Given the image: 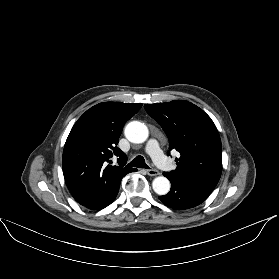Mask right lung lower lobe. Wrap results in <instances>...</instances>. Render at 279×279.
Instances as JSON below:
<instances>
[{
  "label": "right lung lower lobe",
  "instance_id": "obj_1",
  "mask_svg": "<svg viewBox=\"0 0 279 279\" xmlns=\"http://www.w3.org/2000/svg\"><path fill=\"white\" fill-rule=\"evenodd\" d=\"M118 191H119V186L104 200L91 204V205H88V206H85V207H87L88 209H95V210H100L102 208H105L106 206H108L109 204H111L114 201V199L116 198V196L118 194Z\"/></svg>",
  "mask_w": 279,
  "mask_h": 279
}]
</instances>
